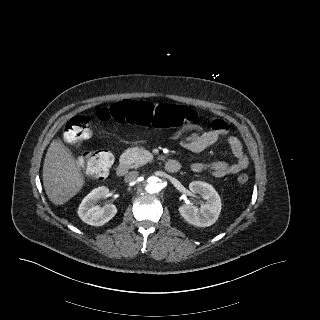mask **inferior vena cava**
I'll return each instance as SVG.
<instances>
[{
	"label": "inferior vena cava",
	"mask_w": 320,
	"mask_h": 320,
	"mask_svg": "<svg viewBox=\"0 0 320 320\" xmlns=\"http://www.w3.org/2000/svg\"><path fill=\"white\" fill-rule=\"evenodd\" d=\"M137 177H138V172L137 171H131L125 176L124 180H125V182H132Z\"/></svg>",
	"instance_id": "1"
}]
</instances>
